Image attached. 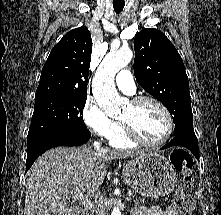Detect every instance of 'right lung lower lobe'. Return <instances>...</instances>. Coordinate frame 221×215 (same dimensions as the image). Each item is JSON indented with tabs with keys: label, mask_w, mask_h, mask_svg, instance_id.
I'll use <instances>...</instances> for the list:
<instances>
[{
	"label": "right lung lower lobe",
	"mask_w": 221,
	"mask_h": 215,
	"mask_svg": "<svg viewBox=\"0 0 221 215\" xmlns=\"http://www.w3.org/2000/svg\"><path fill=\"white\" fill-rule=\"evenodd\" d=\"M91 137L90 132L81 133L75 136H50L32 141L27 144L26 170L45 151L56 146H79L86 143Z\"/></svg>",
	"instance_id": "98d812e1"
}]
</instances>
